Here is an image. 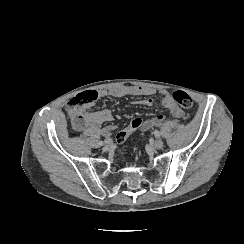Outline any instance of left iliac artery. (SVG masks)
<instances>
[{"label": "left iliac artery", "mask_w": 244, "mask_h": 244, "mask_svg": "<svg viewBox=\"0 0 244 244\" xmlns=\"http://www.w3.org/2000/svg\"><path fill=\"white\" fill-rule=\"evenodd\" d=\"M154 134H155L156 137H160V132H159L158 130H156V131L154 132Z\"/></svg>", "instance_id": "left-iliac-artery-1"}]
</instances>
